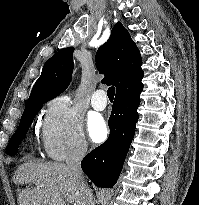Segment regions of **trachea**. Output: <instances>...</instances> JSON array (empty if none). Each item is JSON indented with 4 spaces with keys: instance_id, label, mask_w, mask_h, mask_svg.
Returning a JSON list of instances; mask_svg holds the SVG:
<instances>
[{
    "instance_id": "1",
    "label": "trachea",
    "mask_w": 199,
    "mask_h": 205,
    "mask_svg": "<svg viewBox=\"0 0 199 205\" xmlns=\"http://www.w3.org/2000/svg\"><path fill=\"white\" fill-rule=\"evenodd\" d=\"M114 95H115V88L114 87H109L107 90V96L110 100L114 99Z\"/></svg>"
}]
</instances>
